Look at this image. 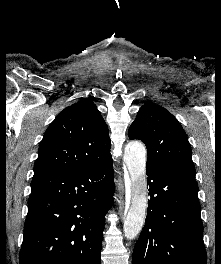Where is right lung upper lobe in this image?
I'll return each instance as SVG.
<instances>
[{
  "label": "right lung upper lobe",
  "mask_w": 221,
  "mask_h": 264,
  "mask_svg": "<svg viewBox=\"0 0 221 264\" xmlns=\"http://www.w3.org/2000/svg\"><path fill=\"white\" fill-rule=\"evenodd\" d=\"M108 127L89 99L62 110L45 131L34 166V178L80 170L111 157Z\"/></svg>",
  "instance_id": "1"
}]
</instances>
